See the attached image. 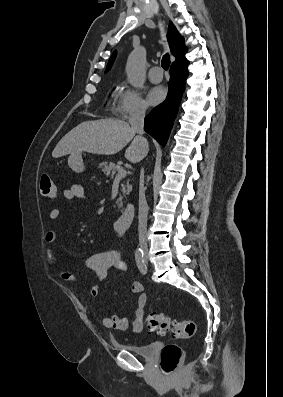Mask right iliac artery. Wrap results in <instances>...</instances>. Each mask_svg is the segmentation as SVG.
<instances>
[{
    "label": "right iliac artery",
    "mask_w": 283,
    "mask_h": 397,
    "mask_svg": "<svg viewBox=\"0 0 283 397\" xmlns=\"http://www.w3.org/2000/svg\"><path fill=\"white\" fill-rule=\"evenodd\" d=\"M143 256H144V254H143V251H142V250L139 249V250L136 251V253H135V260H136L138 269L140 270V272H141L142 274H146V272H147V267H146V265H145Z\"/></svg>",
    "instance_id": "82829eb1"
}]
</instances>
